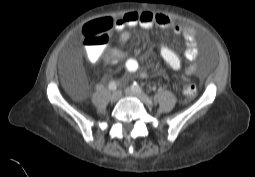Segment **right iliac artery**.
Returning <instances> with one entry per match:
<instances>
[{"instance_id":"1","label":"right iliac artery","mask_w":255,"mask_h":177,"mask_svg":"<svg viewBox=\"0 0 255 177\" xmlns=\"http://www.w3.org/2000/svg\"><path fill=\"white\" fill-rule=\"evenodd\" d=\"M108 87L111 91H114L117 88L116 83L114 81L110 82Z\"/></svg>"}]
</instances>
